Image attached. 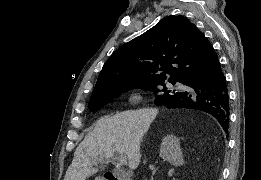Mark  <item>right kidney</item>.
<instances>
[{"instance_id": "1", "label": "right kidney", "mask_w": 261, "mask_h": 180, "mask_svg": "<svg viewBox=\"0 0 261 180\" xmlns=\"http://www.w3.org/2000/svg\"><path fill=\"white\" fill-rule=\"evenodd\" d=\"M160 158L170 162L172 166H182L183 158L180 150V140L176 136H165L162 140L161 150L159 152Z\"/></svg>"}]
</instances>
